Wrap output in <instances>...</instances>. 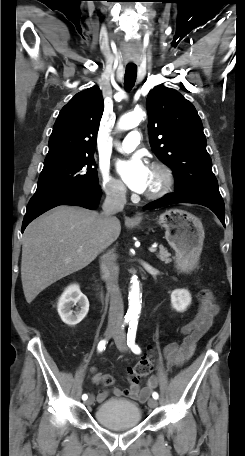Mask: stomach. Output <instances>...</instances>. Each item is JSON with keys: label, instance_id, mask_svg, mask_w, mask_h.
Masks as SVG:
<instances>
[{"label": "stomach", "instance_id": "1", "mask_svg": "<svg viewBox=\"0 0 245 456\" xmlns=\"http://www.w3.org/2000/svg\"><path fill=\"white\" fill-rule=\"evenodd\" d=\"M157 222L165 229V238L175 251L177 268L185 272L193 270L205 237L201 220L187 211L170 209L162 213Z\"/></svg>", "mask_w": 245, "mask_h": 456}]
</instances>
